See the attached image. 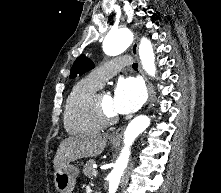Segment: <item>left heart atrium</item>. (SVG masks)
Masks as SVG:
<instances>
[{"instance_id": "obj_1", "label": "left heart atrium", "mask_w": 221, "mask_h": 193, "mask_svg": "<svg viewBox=\"0 0 221 193\" xmlns=\"http://www.w3.org/2000/svg\"><path fill=\"white\" fill-rule=\"evenodd\" d=\"M145 100V90L137 78H121L115 87L113 107L115 112L130 114L137 111Z\"/></svg>"}]
</instances>
